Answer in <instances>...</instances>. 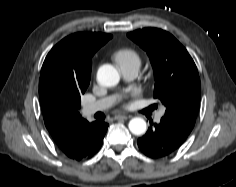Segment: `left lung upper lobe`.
<instances>
[{
    "mask_svg": "<svg viewBox=\"0 0 236 187\" xmlns=\"http://www.w3.org/2000/svg\"><path fill=\"white\" fill-rule=\"evenodd\" d=\"M128 37L150 58L155 78L154 98L166 107L163 118L191 132L201 97L200 78L193 59L164 30L144 28L128 33Z\"/></svg>",
    "mask_w": 236,
    "mask_h": 187,
    "instance_id": "1",
    "label": "left lung upper lobe"
}]
</instances>
